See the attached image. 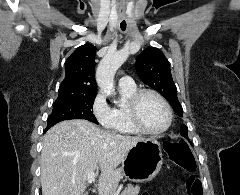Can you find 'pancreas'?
I'll return each mask as SVG.
<instances>
[{
    "mask_svg": "<svg viewBox=\"0 0 240 195\" xmlns=\"http://www.w3.org/2000/svg\"><path fill=\"white\" fill-rule=\"evenodd\" d=\"M139 191V185H132V183H128L127 187H125L124 191H121L119 195H138Z\"/></svg>",
    "mask_w": 240,
    "mask_h": 195,
    "instance_id": "obj_1",
    "label": "pancreas"
}]
</instances>
